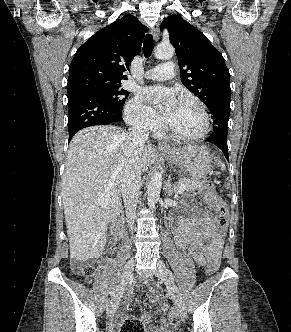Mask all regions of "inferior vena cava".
I'll return each instance as SVG.
<instances>
[{
    "label": "inferior vena cava",
    "instance_id": "obj_1",
    "mask_svg": "<svg viewBox=\"0 0 291 332\" xmlns=\"http://www.w3.org/2000/svg\"><path fill=\"white\" fill-rule=\"evenodd\" d=\"M148 128L140 125L130 128L128 135L129 148L126 152V161L122 173V197L126 210L127 222L133 227L136 209L139 203V190L141 188V150L148 139Z\"/></svg>",
    "mask_w": 291,
    "mask_h": 332
}]
</instances>
